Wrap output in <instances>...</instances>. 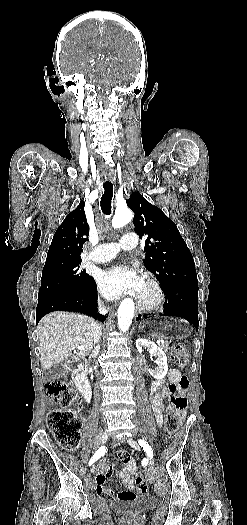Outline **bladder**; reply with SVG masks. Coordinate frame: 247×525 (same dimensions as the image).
I'll list each match as a JSON object with an SVG mask.
<instances>
[{
	"label": "bladder",
	"instance_id": "31cf9c89",
	"mask_svg": "<svg viewBox=\"0 0 247 525\" xmlns=\"http://www.w3.org/2000/svg\"><path fill=\"white\" fill-rule=\"evenodd\" d=\"M157 504V499L151 495H137L130 499L115 500L112 512L121 516L143 514Z\"/></svg>",
	"mask_w": 247,
	"mask_h": 525
}]
</instances>
